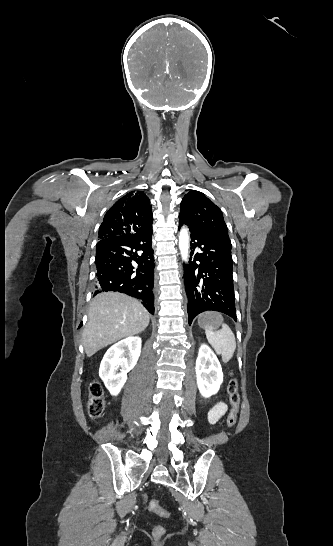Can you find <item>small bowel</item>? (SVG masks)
Wrapping results in <instances>:
<instances>
[{"label": "small bowel", "instance_id": "obj_1", "mask_svg": "<svg viewBox=\"0 0 333 546\" xmlns=\"http://www.w3.org/2000/svg\"><path fill=\"white\" fill-rule=\"evenodd\" d=\"M227 406L223 402L217 403L209 412H208V421L210 424H216L219 419L226 413ZM145 499V498H144Z\"/></svg>", "mask_w": 333, "mask_h": 546}]
</instances>
